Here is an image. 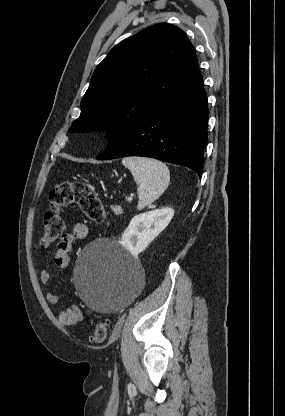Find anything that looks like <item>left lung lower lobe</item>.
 I'll list each match as a JSON object with an SVG mask.
<instances>
[{
	"label": "left lung lower lobe",
	"instance_id": "1",
	"mask_svg": "<svg viewBox=\"0 0 285 416\" xmlns=\"http://www.w3.org/2000/svg\"><path fill=\"white\" fill-rule=\"evenodd\" d=\"M208 116L207 95L197 72L173 97L114 139L98 159L151 157L186 166L201 177Z\"/></svg>",
	"mask_w": 285,
	"mask_h": 416
}]
</instances>
